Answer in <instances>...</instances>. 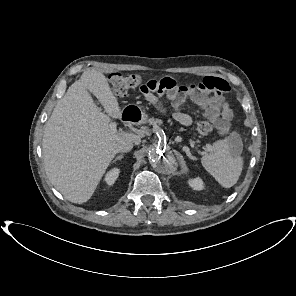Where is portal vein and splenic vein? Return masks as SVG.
Listing matches in <instances>:
<instances>
[{"label":"portal vein and splenic vein","mask_w":296,"mask_h":296,"mask_svg":"<svg viewBox=\"0 0 296 296\" xmlns=\"http://www.w3.org/2000/svg\"><path fill=\"white\" fill-rule=\"evenodd\" d=\"M109 127H110L111 130H116L117 124H116L115 122H111V123L109 124ZM185 152L187 153V155H188L189 157H192L189 148H187V149L185 150Z\"/></svg>","instance_id":"1"}]
</instances>
